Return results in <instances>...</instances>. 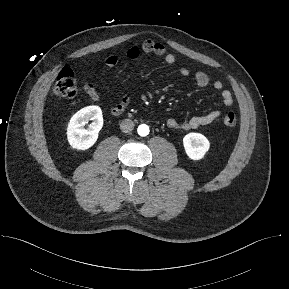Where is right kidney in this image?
I'll return each instance as SVG.
<instances>
[{
	"instance_id": "obj_1",
	"label": "right kidney",
	"mask_w": 289,
	"mask_h": 289,
	"mask_svg": "<svg viewBox=\"0 0 289 289\" xmlns=\"http://www.w3.org/2000/svg\"><path fill=\"white\" fill-rule=\"evenodd\" d=\"M92 123L85 128L86 123ZM103 126L102 110L98 106H87L76 112L67 128V139L70 146L77 150H87L92 147L97 139L98 133Z\"/></svg>"
}]
</instances>
